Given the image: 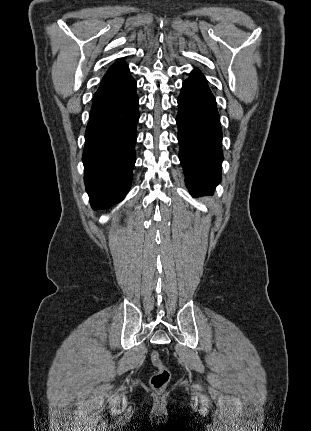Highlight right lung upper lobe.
<instances>
[{
  "mask_svg": "<svg viewBox=\"0 0 311 431\" xmlns=\"http://www.w3.org/2000/svg\"><path fill=\"white\" fill-rule=\"evenodd\" d=\"M128 67L126 66V64L123 61H117L116 63H114L109 70L107 71V73L105 74V76H109L112 74H115L117 72H121L126 70Z\"/></svg>",
  "mask_w": 311,
  "mask_h": 431,
  "instance_id": "cb5924a9",
  "label": "right lung upper lobe"
}]
</instances>
